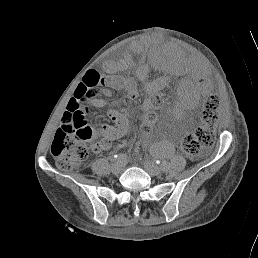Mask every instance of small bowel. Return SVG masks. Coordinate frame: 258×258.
Instances as JSON below:
<instances>
[{"label":"small bowel","instance_id":"1","mask_svg":"<svg viewBox=\"0 0 258 258\" xmlns=\"http://www.w3.org/2000/svg\"><path fill=\"white\" fill-rule=\"evenodd\" d=\"M132 62V58L128 57L123 61V64L126 65L128 63ZM111 66V65H110ZM113 67V66H111ZM194 73H196L194 71ZM92 103L97 106V107H105V104L102 100L100 99H94L92 101ZM107 114L109 116V118L111 120H116L117 121V116L116 114L111 111V110H107ZM124 127L119 124V123H115L114 126H108L102 129L101 131V140L98 143V145L95 148V151H104L110 148L111 143L122 134ZM145 142L149 145H152L155 149L157 150H161L162 148H164L167 152H169L172 149V146L170 143H166L161 145L160 143H153L151 138H145Z\"/></svg>","mask_w":258,"mask_h":258}]
</instances>
